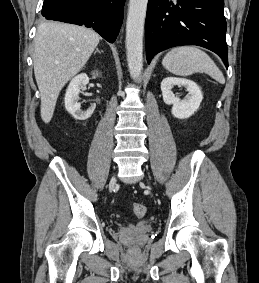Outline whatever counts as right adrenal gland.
I'll use <instances>...</instances> for the list:
<instances>
[{
  "instance_id": "obj_1",
  "label": "right adrenal gland",
  "mask_w": 259,
  "mask_h": 283,
  "mask_svg": "<svg viewBox=\"0 0 259 283\" xmlns=\"http://www.w3.org/2000/svg\"><path fill=\"white\" fill-rule=\"evenodd\" d=\"M96 53L101 54V53H103V51H102V50H101V51H99L98 49H96L95 54H96Z\"/></svg>"
}]
</instances>
